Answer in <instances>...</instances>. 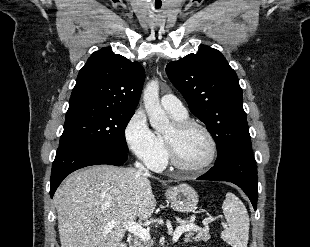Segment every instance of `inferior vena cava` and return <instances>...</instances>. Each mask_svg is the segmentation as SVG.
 Returning a JSON list of instances; mask_svg holds the SVG:
<instances>
[{
  "mask_svg": "<svg viewBox=\"0 0 310 247\" xmlns=\"http://www.w3.org/2000/svg\"><path fill=\"white\" fill-rule=\"evenodd\" d=\"M134 165L138 168L139 172H145V174H148V170L140 162H135Z\"/></svg>",
  "mask_w": 310,
  "mask_h": 247,
  "instance_id": "602c4592",
  "label": "inferior vena cava"
}]
</instances>
